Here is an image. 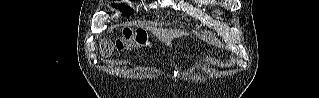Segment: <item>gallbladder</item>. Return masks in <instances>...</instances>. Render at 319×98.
Returning a JSON list of instances; mask_svg holds the SVG:
<instances>
[{"label":"gallbladder","instance_id":"1","mask_svg":"<svg viewBox=\"0 0 319 98\" xmlns=\"http://www.w3.org/2000/svg\"><path fill=\"white\" fill-rule=\"evenodd\" d=\"M110 54V51L109 52H107V55H109Z\"/></svg>","mask_w":319,"mask_h":98}]
</instances>
